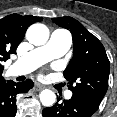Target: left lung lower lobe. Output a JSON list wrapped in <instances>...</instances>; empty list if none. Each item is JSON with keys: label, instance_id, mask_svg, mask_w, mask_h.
Returning <instances> with one entry per match:
<instances>
[{"label": "left lung lower lobe", "instance_id": "0a47b994", "mask_svg": "<svg viewBox=\"0 0 117 117\" xmlns=\"http://www.w3.org/2000/svg\"><path fill=\"white\" fill-rule=\"evenodd\" d=\"M60 100L58 98L54 106L44 108L43 117H91L97 110L76 95L63 102Z\"/></svg>", "mask_w": 117, "mask_h": 117}]
</instances>
